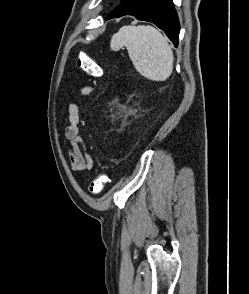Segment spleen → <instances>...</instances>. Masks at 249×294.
Here are the masks:
<instances>
[{
  "label": "spleen",
  "mask_w": 249,
  "mask_h": 294,
  "mask_svg": "<svg viewBox=\"0 0 249 294\" xmlns=\"http://www.w3.org/2000/svg\"><path fill=\"white\" fill-rule=\"evenodd\" d=\"M110 46L114 51L126 47L134 67L147 79L164 81L173 71L168 39L152 26H123L112 36Z\"/></svg>",
  "instance_id": "1"
}]
</instances>
